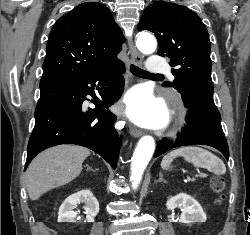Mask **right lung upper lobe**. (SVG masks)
<instances>
[{
	"label": "right lung upper lobe",
	"mask_w": 250,
	"mask_h": 235,
	"mask_svg": "<svg viewBox=\"0 0 250 235\" xmlns=\"http://www.w3.org/2000/svg\"><path fill=\"white\" fill-rule=\"evenodd\" d=\"M123 42L105 5H78L59 18L50 32L40 84L69 79L107 62L119 61L116 56Z\"/></svg>",
	"instance_id": "obj_1"
}]
</instances>
